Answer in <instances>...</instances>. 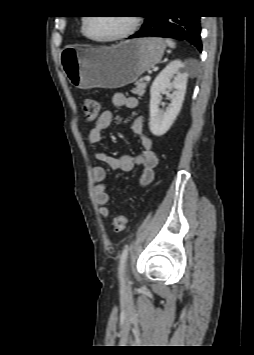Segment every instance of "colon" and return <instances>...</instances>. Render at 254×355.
I'll return each instance as SVG.
<instances>
[{
	"label": "colon",
	"instance_id": "5ec220e1",
	"mask_svg": "<svg viewBox=\"0 0 254 355\" xmlns=\"http://www.w3.org/2000/svg\"><path fill=\"white\" fill-rule=\"evenodd\" d=\"M81 107L88 121H94L98 118L100 106L99 103L90 97H84L81 100ZM113 227L116 232H122L127 227V218L125 215L117 214L113 218Z\"/></svg>",
	"mask_w": 254,
	"mask_h": 355
}]
</instances>
